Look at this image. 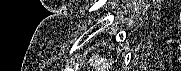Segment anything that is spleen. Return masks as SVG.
I'll return each instance as SVG.
<instances>
[{
    "label": "spleen",
    "instance_id": "spleen-1",
    "mask_svg": "<svg viewBox=\"0 0 181 71\" xmlns=\"http://www.w3.org/2000/svg\"><path fill=\"white\" fill-rule=\"evenodd\" d=\"M91 65L94 66V68L97 71H108V63L104 61V59H101L100 61H91Z\"/></svg>",
    "mask_w": 181,
    "mask_h": 71
}]
</instances>
